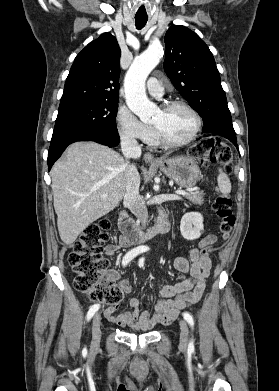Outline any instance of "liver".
I'll return each mask as SVG.
<instances>
[{"mask_svg": "<svg viewBox=\"0 0 279 391\" xmlns=\"http://www.w3.org/2000/svg\"><path fill=\"white\" fill-rule=\"evenodd\" d=\"M126 165L118 152L95 142L71 144L66 159L53 165L54 208L65 244L117 207L126 190Z\"/></svg>", "mask_w": 279, "mask_h": 391, "instance_id": "obj_1", "label": "liver"}]
</instances>
